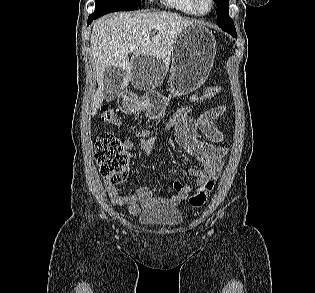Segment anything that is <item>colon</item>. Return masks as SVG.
Listing matches in <instances>:
<instances>
[{
	"instance_id": "colon-1",
	"label": "colon",
	"mask_w": 315,
	"mask_h": 293,
	"mask_svg": "<svg viewBox=\"0 0 315 293\" xmlns=\"http://www.w3.org/2000/svg\"><path fill=\"white\" fill-rule=\"evenodd\" d=\"M222 88L213 86L208 88L201 96L202 100L213 97L215 94H221ZM187 114L186 109L176 112L169 120L166 128H169L180 117ZM101 119L103 122L118 124L119 119L113 108L103 106L101 108ZM132 155L129 152L126 142L112 134H102L96 140V161L99 165L100 173L106 183L120 185L124 183L129 175V165ZM217 179L212 177L201 184L197 191L188 199L190 206L193 208L202 207L211 192L214 190Z\"/></svg>"
}]
</instances>
